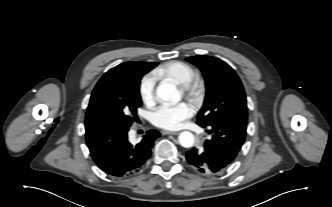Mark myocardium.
I'll return each mask as SVG.
<instances>
[{
	"label": "myocardium",
	"instance_id": "myocardium-1",
	"mask_svg": "<svg viewBox=\"0 0 332 207\" xmlns=\"http://www.w3.org/2000/svg\"><path fill=\"white\" fill-rule=\"evenodd\" d=\"M203 89L204 83L197 76H193L187 83L181 85L184 95L196 104L201 100Z\"/></svg>",
	"mask_w": 332,
	"mask_h": 207
}]
</instances>
